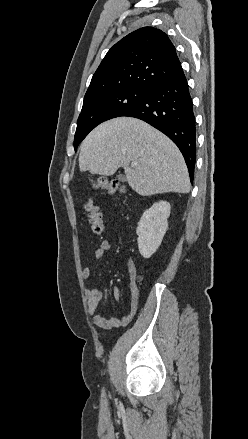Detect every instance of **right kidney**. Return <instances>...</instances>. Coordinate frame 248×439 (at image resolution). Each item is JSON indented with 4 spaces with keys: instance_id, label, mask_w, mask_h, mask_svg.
Masks as SVG:
<instances>
[{
    "instance_id": "1",
    "label": "right kidney",
    "mask_w": 248,
    "mask_h": 439,
    "mask_svg": "<svg viewBox=\"0 0 248 439\" xmlns=\"http://www.w3.org/2000/svg\"><path fill=\"white\" fill-rule=\"evenodd\" d=\"M170 203L159 201L147 209L136 229L138 249L145 259L150 258L160 246L167 231V219L170 216Z\"/></svg>"
}]
</instances>
